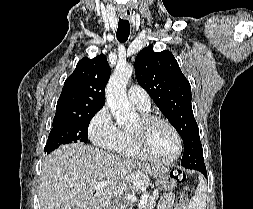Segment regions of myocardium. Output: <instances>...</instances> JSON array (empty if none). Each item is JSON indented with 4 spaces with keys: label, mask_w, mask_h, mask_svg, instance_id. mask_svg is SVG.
I'll return each instance as SVG.
<instances>
[{
    "label": "myocardium",
    "mask_w": 253,
    "mask_h": 209,
    "mask_svg": "<svg viewBox=\"0 0 253 209\" xmlns=\"http://www.w3.org/2000/svg\"><path fill=\"white\" fill-rule=\"evenodd\" d=\"M156 122L164 123L165 125H167L172 130L176 138V143H177L176 152L171 158L166 159V160L158 159L152 156L146 148V130L149 126H151L152 124ZM131 134L133 136L134 144L139 155L148 161L161 164V165H169L177 161L181 155L182 148H183L182 137L179 131L177 130V128L175 127V125L171 121H169L168 119L162 116L153 115V114H143L140 118L139 127L135 129H131Z\"/></svg>",
    "instance_id": "1"
}]
</instances>
